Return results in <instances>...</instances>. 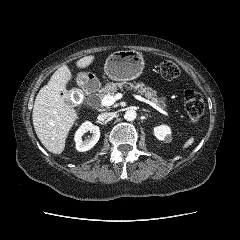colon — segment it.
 <instances>
[{"instance_id":"1","label":"colon","mask_w":240,"mask_h":240,"mask_svg":"<svg viewBox=\"0 0 240 240\" xmlns=\"http://www.w3.org/2000/svg\"><path fill=\"white\" fill-rule=\"evenodd\" d=\"M158 71L160 75L167 80L178 77L180 70L176 63L165 60L159 63ZM185 111L192 122H197L204 113V100L202 96L193 89H187L184 92Z\"/></svg>"}]
</instances>
